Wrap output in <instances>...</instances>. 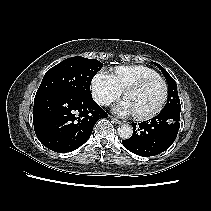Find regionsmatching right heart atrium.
Instances as JSON below:
<instances>
[{
	"instance_id": "1",
	"label": "right heart atrium",
	"mask_w": 211,
	"mask_h": 211,
	"mask_svg": "<svg viewBox=\"0 0 211 211\" xmlns=\"http://www.w3.org/2000/svg\"><path fill=\"white\" fill-rule=\"evenodd\" d=\"M91 92L95 101L102 106L110 105L122 95L113 74L106 70H100L93 76Z\"/></svg>"
}]
</instances>
